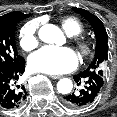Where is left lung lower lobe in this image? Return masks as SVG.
<instances>
[{
	"instance_id": "obj_1",
	"label": "left lung lower lobe",
	"mask_w": 117,
	"mask_h": 117,
	"mask_svg": "<svg viewBox=\"0 0 117 117\" xmlns=\"http://www.w3.org/2000/svg\"><path fill=\"white\" fill-rule=\"evenodd\" d=\"M74 80L78 85L83 81L84 87L79 92H73L64 97V105L70 108L90 106L103 87L104 77L94 71L84 70L75 75Z\"/></svg>"
}]
</instances>
